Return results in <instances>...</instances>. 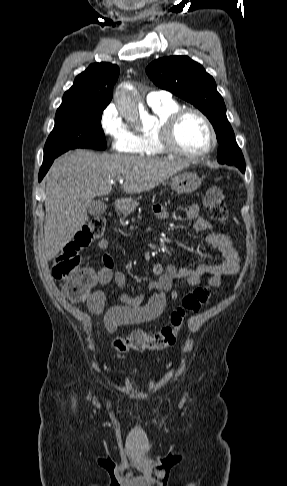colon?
I'll return each mask as SVG.
<instances>
[{"instance_id": "colon-1", "label": "colon", "mask_w": 287, "mask_h": 486, "mask_svg": "<svg viewBox=\"0 0 287 486\" xmlns=\"http://www.w3.org/2000/svg\"><path fill=\"white\" fill-rule=\"evenodd\" d=\"M205 208L208 215L220 224H226L228 210L222 190L211 186L207 189ZM104 217H93L79 230L72 241L65 245L52 264L53 277L62 282L65 296L74 303L88 301L90 291L96 281V275L90 268L81 266L80 251L102 236L105 231ZM211 290L207 287H198L186 294L181 304L175 308L168 325L154 333L135 330L126 336L114 340L113 346L119 357L129 351L143 352L147 350H165L172 347L178 338L184 321L191 313L198 312L209 302Z\"/></svg>"}]
</instances>
